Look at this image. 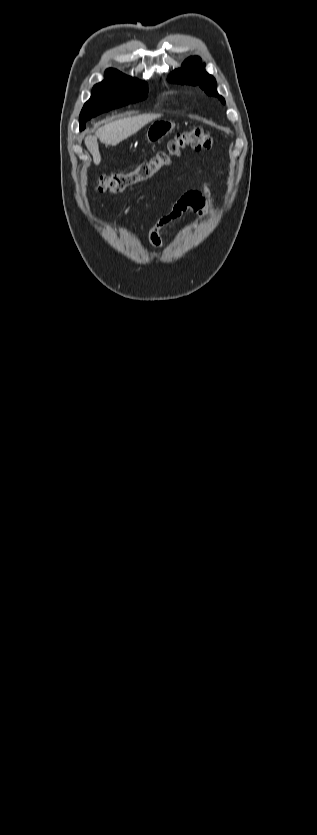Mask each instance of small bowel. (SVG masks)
Masks as SVG:
<instances>
[{"label":"small bowel","instance_id":"1","mask_svg":"<svg viewBox=\"0 0 317 835\" xmlns=\"http://www.w3.org/2000/svg\"><path fill=\"white\" fill-rule=\"evenodd\" d=\"M213 186L212 181L204 182L201 188L188 190L180 196L169 212L157 219L150 227L148 231L150 246L154 249H161L163 247L162 229L181 218L187 211H192L205 220L213 219L218 213L211 193Z\"/></svg>","mask_w":317,"mask_h":835}]
</instances>
